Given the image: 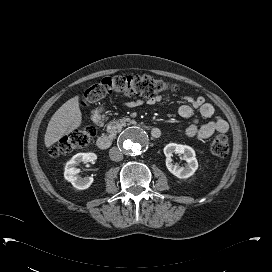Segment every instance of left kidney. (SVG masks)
<instances>
[{"label": "left kidney", "instance_id": "5707ae66", "mask_svg": "<svg viewBox=\"0 0 272 272\" xmlns=\"http://www.w3.org/2000/svg\"><path fill=\"white\" fill-rule=\"evenodd\" d=\"M173 153L183 154L184 160L187 162L185 167L177 166L172 163L171 156ZM164 154L166 156L167 169L179 179L191 177L198 169V161L196 159L195 151L190 146L169 143L164 147Z\"/></svg>", "mask_w": 272, "mask_h": 272}]
</instances>
